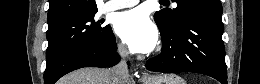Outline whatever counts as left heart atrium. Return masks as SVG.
<instances>
[{"instance_id": "1", "label": "left heart atrium", "mask_w": 260, "mask_h": 84, "mask_svg": "<svg viewBox=\"0 0 260 84\" xmlns=\"http://www.w3.org/2000/svg\"><path fill=\"white\" fill-rule=\"evenodd\" d=\"M115 29L134 52L149 53L157 45V28L146 10L141 7L119 13L115 20Z\"/></svg>"}]
</instances>
